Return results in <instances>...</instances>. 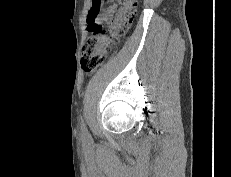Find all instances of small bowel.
<instances>
[{
    "instance_id": "c3829d8e",
    "label": "small bowel",
    "mask_w": 231,
    "mask_h": 177,
    "mask_svg": "<svg viewBox=\"0 0 231 177\" xmlns=\"http://www.w3.org/2000/svg\"><path fill=\"white\" fill-rule=\"evenodd\" d=\"M97 1L98 0H93L92 1V7L89 11V14H88V17H87V22H88V19H89V16L94 8V6L97 4ZM102 3H103V0H100V4H99V13L96 17V22L97 23H101L103 22L104 20L107 19V17L115 10L117 4H116V0H111V3L110 5H108L107 7L103 8L102 9Z\"/></svg>"
}]
</instances>
